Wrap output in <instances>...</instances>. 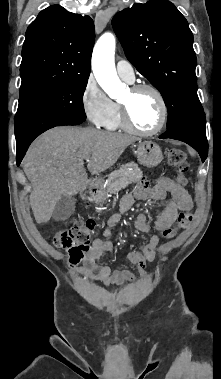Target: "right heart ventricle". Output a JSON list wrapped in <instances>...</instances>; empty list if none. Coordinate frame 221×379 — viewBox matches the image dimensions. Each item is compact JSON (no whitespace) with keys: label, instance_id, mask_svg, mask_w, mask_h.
<instances>
[{"label":"right heart ventricle","instance_id":"right-heart-ventricle-1","mask_svg":"<svg viewBox=\"0 0 221 379\" xmlns=\"http://www.w3.org/2000/svg\"><path fill=\"white\" fill-rule=\"evenodd\" d=\"M103 126L109 130H116L123 127L120 117V107L118 103L113 102L112 112Z\"/></svg>","mask_w":221,"mask_h":379}]
</instances>
